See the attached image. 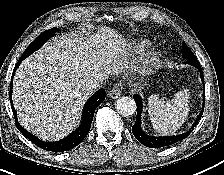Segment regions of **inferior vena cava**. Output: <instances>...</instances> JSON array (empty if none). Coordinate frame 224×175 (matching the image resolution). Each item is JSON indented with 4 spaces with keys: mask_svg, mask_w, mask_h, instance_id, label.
Returning a JSON list of instances; mask_svg holds the SVG:
<instances>
[{
    "mask_svg": "<svg viewBox=\"0 0 224 175\" xmlns=\"http://www.w3.org/2000/svg\"><path fill=\"white\" fill-rule=\"evenodd\" d=\"M104 80L103 76H98L95 79L91 80L90 82H88L83 90L88 94L91 95L93 92H95L102 84Z\"/></svg>",
    "mask_w": 224,
    "mask_h": 175,
    "instance_id": "obj_1",
    "label": "inferior vena cava"
}]
</instances>
